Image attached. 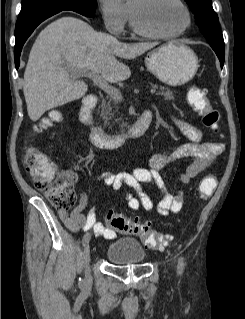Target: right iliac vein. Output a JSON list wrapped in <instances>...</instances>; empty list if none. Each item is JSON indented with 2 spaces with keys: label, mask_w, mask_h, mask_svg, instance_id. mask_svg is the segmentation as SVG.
<instances>
[{
  "label": "right iliac vein",
  "mask_w": 245,
  "mask_h": 319,
  "mask_svg": "<svg viewBox=\"0 0 245 319\" xmlns=\"http://www.w3.org/2000/svg\"><path fill=\"white\" fill-rule=\"evenodd\" d=\"M91 235L90 233H86L83 237V245H84V266H85V277L86 282H90L91 275H90V269H89V259H90V250H89V241H90Z\"/></svg>",
  "instance_id": "1"
}]
</instances>
